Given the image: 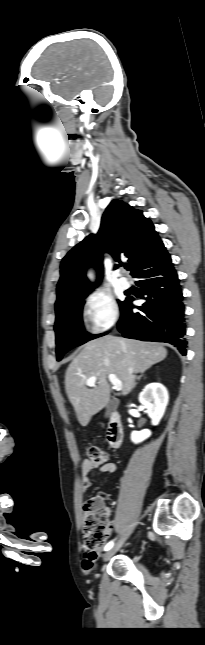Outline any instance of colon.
Listing matches in <instances>:
<instances>
[{"label": "colon", "instance_id": "obj_1", "mask_svg": "<svg viewBox=\"0 0 205 645\" xmlns=\"http://www.w3.org/2000/svg\"><path fill=\"white\" fill-rule=\"evenodd\" d=\"M87 460L99 467L108 460L107 453L98 446L86 449ZM106 496L100 494L86 500L83 504V542L87 552L94 553L100 549L109 536L110 525L107 521L105 507Z\"/></svg>", "mask_w": 205, "mask_h": 645}]
</instances>
